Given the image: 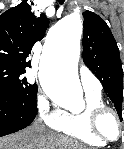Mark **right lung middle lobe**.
<instances>
[{"mask_svg":"<svg viewBox=\"0 0 124 149\" xmlns=\"http://www.w3.org/2000/svg\"><path fill=\"white\" fill-rule=\"evenodd\" d=\"M25 71L0 66V88L9 90L10 92L21 95L31 104L36 105L37 85H30L26 77H23Z\"/></svg>","mask_w":124,"mask_h":149,"instance_id":"1","label":"right lung middle lobe"}]
</instances>
